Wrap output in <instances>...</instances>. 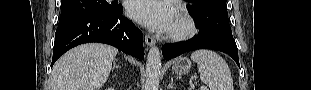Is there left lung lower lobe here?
Listing matches in <instances>:
<instances>
[{
	"label": "left lung lower lobe",
	"instance_id": "1",
	"mask_svg": "<svg viewBox=\"0 0 311 90\" xmlns=\"http://www.w3.org/2000/svg\"><path fill=\"white\" fill-rule=\"evenodd\" d=\"M196 49H214L231 56L239 65L238 50L232 34L219 30L200 32L196 39L179 44H165L162 53L166 60ZM240 67V66H239Z\"/></svg>",
	"mask_w": 311,
	"mask_h": 90
}]
</instances>
